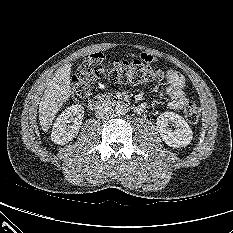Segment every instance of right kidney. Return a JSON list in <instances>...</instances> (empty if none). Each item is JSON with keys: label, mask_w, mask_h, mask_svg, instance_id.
<instances>
[{"label": "right kidney", "mask_w": 233, "mask_h": 233, "mask_svg": "<svg viewBox=\"0 0 233 233\" xmlns=\"http://www.w3.org/2000/svg\"><path fill=\"white\" fill-rule=\"evenodd\" d=\"M84 116V107L72 105L65 109L54 123L51 139L54 143L64 145L79 132Z\"/></svg>", "instance_id": "right-kidney-1"}]
</instances>
